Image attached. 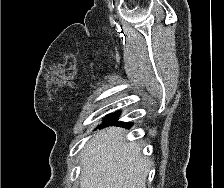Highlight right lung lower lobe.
I'll return each mask as SVG.
<instances>
[{
  "label": "right lung lower lobe",
  "instance_id": "1",
  "mask_svg": "<svg viewBox=\"0 0 224 188\" xmlns=\"http://www.w3.org/2000/svg\"><path fill=\"white\" fill-rule=\"evenodd\" d=\"M117 118V114H112L110 118H108L105 122H103V125L102 126H105V125H112V124H115V125H120V126H125L127 128L131 127L132 126V123H126V122H118L116 120Z\"/></svg>",
  "mask_w": 224,
  "mask_h": 188
}]
</instances>
